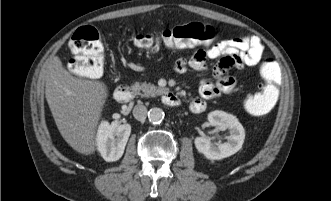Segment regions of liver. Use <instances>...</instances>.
I'll list each match as a JSON object with an SVG mask.
<instances>
[{"mask_svg": "<svg viewBox=\"0 0 331 201\" xmlns=\"http://www.w3.org/2000/svg\"><path fill=\"white\" fill-rule=\"evenodd\" d=\"M42 73L46 100L61 136L77 152L93 154L96 128L108 97L106 85L72 76L57 56L48 60Z\"/></svg>", "mask_w": 331, "mask_h": 201, "instance_id": "obj_1", "label": "liver"}]
</instances>
